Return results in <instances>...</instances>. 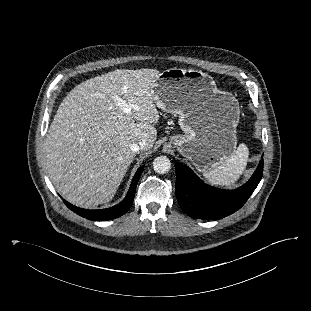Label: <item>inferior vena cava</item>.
Masks as SVG:
<instances>
[{"mask_svg": "<svg viewBox=\"0 0 311 311\" xmlns=\"http://www.w3.org/2000/svg\"><path fill=\"white\" fill-rule=\"evenodd\" d=\"M144 146H145V142L144 141H140V142L131 144L130 145V149L134 153H138L139 151H141L143 149Z\"/></svg>", "mask_w": 311, "mask_h": 311, "instance_id": "obj_1", "label": "inferior vena cava"}]
</instances>
